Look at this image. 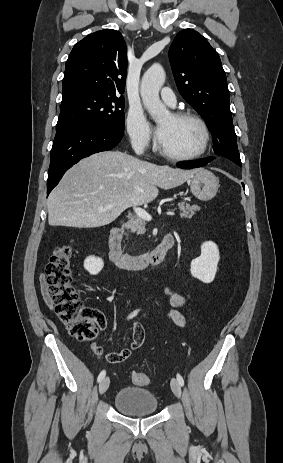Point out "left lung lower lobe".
I'll use <instances>...</instances> for the list:
<instances>
[{"instance_id":"left-lung-lower-lobe-1","label":"left lung lower lobe","mask_w":283,"mask_h":463,"mask_svg":"<svg viewBox=\"0 0 283 463\" xmlns=\"http://www.w3.org/2000/svg\"><path fill=\"white\" fill-rule=\"evenodd\" d=\"M213 159H214V157H209V158L200 159V160H197V161L179 162V163H178V167H179V168H184V169L198 168V167H201V166L206 165L207 163H209V162L212 161ZM242 184H243V183H242ZM243 187H244V184H243Z\"/></svg>"}]
</instances>
